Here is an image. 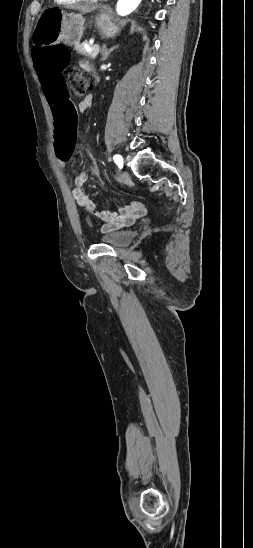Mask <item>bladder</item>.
<instances>
[{
    "mask_svg": "<svg viewBox=\"0 0 253 548\" xmlns=\"http://www.w3.org/2000/svg\"><path fill=\"white\" fill-rule=\"evenodd\" d=\"M135 235V231L131 229L109 231L101 237L100 241L113 247H124L134 239Z\"/></svg>",
    "mask_w": 253,
    "mask_h": 548,
    "instance_id": "bladder-1",
    "label": "bladder"
}]
</instances>
